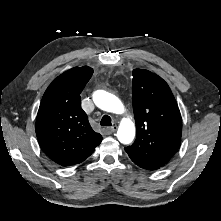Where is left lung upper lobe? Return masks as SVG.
Instances as JSON below:
<instances>
[{
    "label": "left lung upper lobe",
    "mask_w": 221,
    "mask_h": 221,
    "mask_svg": "<svg viewBox=\"0 0 221 221\" xmlns=\"http://www.w3.org/2000/svg\"><path fill=\"white\" fill-rule=\"evenodd\" d=\"M132 102L137 137L125 151L130 157L162 167L181 142L182 119L175 98L162 78L134 69Z\"/></svg>",
    "instance_id": "obj_1"
}]
</instances>
